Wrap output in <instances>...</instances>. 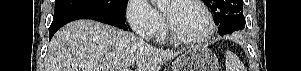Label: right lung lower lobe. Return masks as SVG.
<instances>
[{
    "label": "right lung lower lobe",
    "mask_w": 301,
    "mask_h": 71,
    "mask_svg": "<svg viewBox=\"0 0 301 71\" xmlns=\"http://www.w3.org/2000/svg\"><path fill=\"white\" fill-rule=\"evenodd\" d=\"M78 19H92L118 27L123 30H128L125 21H122L119 17H116L112 14L100 10L78 9L54 16L53 22L49 30L50 39L53 37L55 32L59 30L63 25Z\"/></svg>",
    "instance_id": "obj_1"
}]
</instances>
